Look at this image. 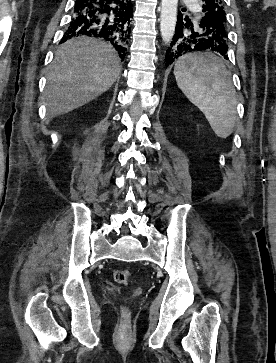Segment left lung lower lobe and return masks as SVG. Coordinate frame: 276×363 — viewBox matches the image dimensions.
I'll return each instance as SVG.
<instances>
[{
  "label": "left lung lower lobe",
  "instance_id": "1",
  "mask_svg": "<svg viewBox=\"0 0 276 363\" xmlns=\"http://www.w3.org/2000/svg\"><path fill=\"white\" fill-rule=\"evenodd\" d=\"M221 30V25L209 13H204L193 25L189 17L183 18L179 12L176 31L166 51L165 66L168 67L178 58L202 50L215 51L228 59V46L220 36Z\"/></svg>",
  "mask_w": 276,
  "mask_h": 363
}]
</instances>
